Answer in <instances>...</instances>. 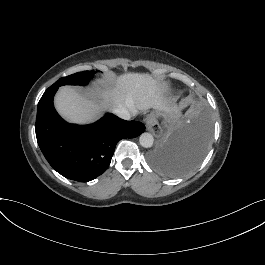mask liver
Here are the masks:
<instances>
[{
    "instance_id": "obj_1",
    "label": "liver",
    "mask_w": 265,
    "mask_h": 265,
    "mask_svg": "<svg viewBox=\"0 0 265 265\" xmlns=\"http://www.w3.org/2000/svg\"><path fill=\"white\" fill-rule=\"evenodd\" d=\"M97 95L102 99L101 102L83 97L70 86H63L55 96V108L67 121L85 124L94 121L103 109L112 111L120 106L126 108L131 116L154 108L175 115L178 119L184 107L168 104L163 87L150 74L120 75L113 88H99Z\"/></svg>"
}]
</instances>
